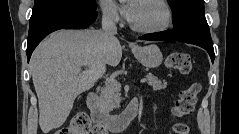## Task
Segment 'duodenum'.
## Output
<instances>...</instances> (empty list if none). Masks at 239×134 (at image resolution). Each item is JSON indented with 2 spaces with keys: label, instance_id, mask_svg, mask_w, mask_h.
I'll use <instances>...</instances> for the list:
<instances>
[{
  "label": "duodenum",
  "instance_id": "duodenum-1",
  "mask_svg": "<svg viewBox=\"0 0 239 134\" xmlns=\"http://www.w3.org/2000/svg\"><path fill=\"white\" fill-rule=\"evenodd\" d=\"M86 104L91 112V118L96 124L109 132L118 133L136 118L141 107V100L134 97L126 108L117 115L108 114L94 92L87 95Z\"/></svg>",
  "mask_w": 239,
  "mask_h": 134
}]
</instances>
